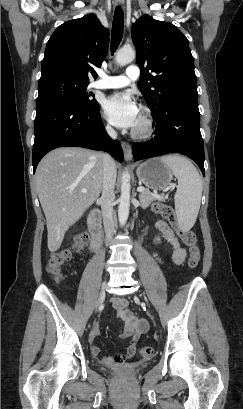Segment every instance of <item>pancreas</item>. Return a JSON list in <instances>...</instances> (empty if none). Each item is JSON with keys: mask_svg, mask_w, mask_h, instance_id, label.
I'll list each match as a JSON object with an SVG mask.
<instances>
[{"mask_svg": "<svg viewBox=\"0 0 243 409\" xmlns=\"http://www.w3.org/2000/svg\"><path fill=\"white\" fill-rule=\"evenodd\" d=\"M164 196L152 194L149 190H144L139 195V200L142 208L148 207L155 200H163Z\"/></svg>", "mask_w": 243, "mask_h": 409, "instance_id": "1", "label": "pancreas"}]
</instances>
